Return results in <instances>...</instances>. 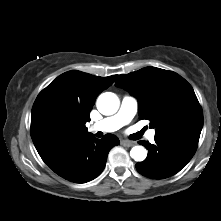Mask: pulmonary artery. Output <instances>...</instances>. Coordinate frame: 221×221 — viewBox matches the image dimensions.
I'll return each instance as SVG.
<instances>
[{
	"instance_id": "pulmonary-artery-1",
	"label": "pulmonary artery",
	"mask_w": 221,
	"mask_h": 221,
	"mask_svg": "<svg viewBox=\"0 0 221 221\" xmlns=\"http://www.w3.org/2000/svg\"><path fill=\"white\" fill-rule=\"evenodd\" d=\"M138 102L133 96H124L118 112L93 124L92 130L102 132H114L128 124L135 116ZM149 140L155 137V130H149L146 134Z\"/></svg>"
}]
</instances>
